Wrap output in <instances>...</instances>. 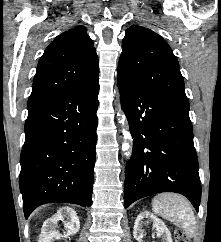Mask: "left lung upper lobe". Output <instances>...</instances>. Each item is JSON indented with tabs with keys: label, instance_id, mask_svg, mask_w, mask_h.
I'll return each mask as SVG.
<instances>
[{
	"label": "left lung upper lobe",
	"instance_id": "1",
	"mask_svg": "<svg viewBox=\"0 0 221 242\" xmlns=\"http://www.w3.org/2000/svg\"><path fill=\"white\" fill-rule=\"evenodd\" d=\"M118 70L154 95L189 107L178 60L152 30L137 25L126 30Z\"/></svg>",
	"mask_w": 221,
	"mask_h": 242
}]
</instances>
